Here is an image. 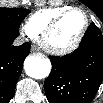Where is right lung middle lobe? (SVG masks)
Segmentation results:
<instances>
[{"instance_id":"1","label":"right lung middle lobe","mask_w":103,"mask_h":103,"mask_svg":"<svg viewBox=\"0 0 103 103\" xmlns=\"http://www.w3.org/2000/svg\"><path fill=\"white\" fill-rule=\"evenodd\" d=\"M30 13L27 9L0 8V30L19 35V27Z\"/></svg>"}]
</instances>
